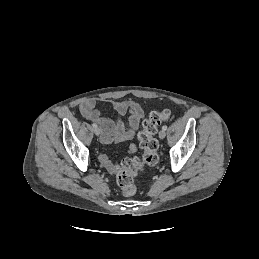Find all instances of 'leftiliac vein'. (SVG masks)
Instances as JSON below:
<instances>
[{
	"mask_svg": "<svg viewBox=\"0 0 259 259\" xmlns=\"http://www.w3.org/2000/svg\"><path fill=\"white\" fill-rule=\"evenodd\" d=\"M165 136H166V132H165V130L162 129V130L159 132V138H160V139H164Z\"/></svg>",
	"mask_w": 259,
	"mask_h": 259,
	"instance_id": "left-iliac-vein-1",
	"label": "left iliac vein"
}]
</instances>
